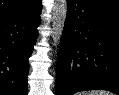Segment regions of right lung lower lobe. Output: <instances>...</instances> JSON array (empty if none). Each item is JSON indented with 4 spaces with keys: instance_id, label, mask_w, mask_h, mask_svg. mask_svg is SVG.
Returning a JSON list of instances; mask_svg holds the SVG:
<instances>
[{
    "instance_id": "98d812e1",
    "label": "right lung lower lobe",
    "mask_w": 119,
    "mask_h": 95,
    "mask_svg": "<svg viewBox=\"0 0 119 95\" xmlns=\"http://www.w3.org/2000/svg\"><path fill=\"white\" fill-rule=\"evenodd\" d=\"M42 5L0 22V95H27V75Z\"/></svg>"
}]
</instances>
